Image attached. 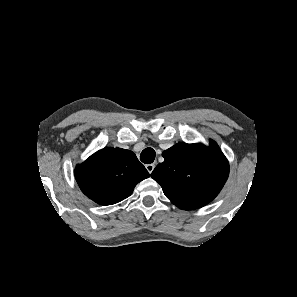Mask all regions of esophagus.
<instances>
[{"instance_id": "esophagus-1", "label": "esophagus", "mask_w": 297, "mask_h": 297, "mask_svg": "<svg viewBox=\"0 0 297 297\" xmlns=\"http://www.w3.org/2000/svg\"><path fill=\"white\" fill-rule=\"evenodd\" d=\"M145 167H146L147 171L151 174L152 171L155 168V165L154 164H147Z\"/></svg>"}]
</instances>
